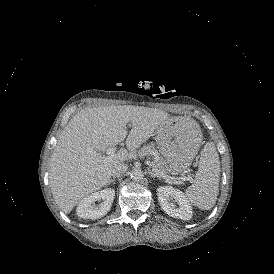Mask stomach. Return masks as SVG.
Here are the masks:
<instances>
[{
  "label": "stomach",
  "instance_id": "obj_1",
  "mask_svg": "<svg viewBox=\"0 0 274 274\" xmlns=\"http://www.w3.org/2000/svg\"><path fill=\"white\" fill-rule=\"evenodd\" d=\"M195 121H184L181 124L172 125L165 133L157 132L158 149L169 163L168 170L180 175L188 171L192 160L199 150L201 142L198 141L199 127L194 129ZM196 150L193 152V147Z\"/></svg>",
  "mask_w": 274,
  "mask_h": 274
}]
</instances>
